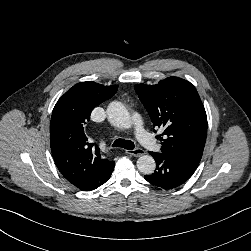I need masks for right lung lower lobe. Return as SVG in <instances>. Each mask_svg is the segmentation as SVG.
Segmentation results:
<instances>
[{"mask_svg": "<svg viewBox=\"0 0 251 251\" xmlns=\"http://www.w3.org/2000/svg\"><path fill=\"white\" fill-rule=\"evenodd\" d=\"M114 165H115V162H111L109 166L104 168L95 177H93L87 183L83 184L82 186L78 188L83 191H90V190H94L98 188L110 178L112 171L114 169Z\"/></svg>", "mask_w": 251, "mask_h": 251, "instance_id": "right-lung-lower-lobe-1", "label": "right lung lower lobe"}]
</instances>
